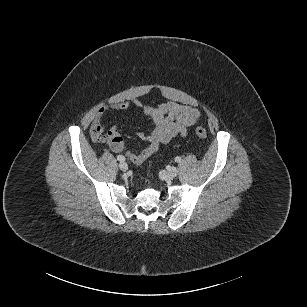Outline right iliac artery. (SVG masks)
Returning <instances> with one entry per match:
<instances>
[{"label": "right iliac artery", "instance_id": "obj_1", "mask_svg": "<svg viewBox=\"0 0 307 307\" xmlns=\"http://www.w3.org/2000/svg\"><path fill=\"white\" fill-rule=\"evenodd\" d=\"M117 159H118L120 162L125 161V157L122 156V155H118V156H117Z\"/></svg>", "mask_w": 307, "mask_h": 307}]
</instances>
